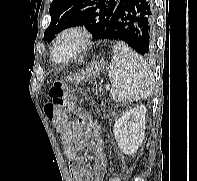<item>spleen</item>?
I'll use <instances>...</instances> for the list:
<instances>
[{"instance_id":"obj_1","label":"spleen","mask_w":197,"mask_h":181,"mask_svg":"<svg viewBox=\"0 0 197 181\" xmlns=\"http://www.w3.org/2000/svg\"><path fill=\"white\" fill-rule=\"evenodd\" d=\"M108 75L115 102H134L152 95L153 73L143 58L124 42L117 41Z\"/></svg>"}]
</instances>
